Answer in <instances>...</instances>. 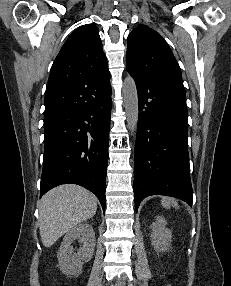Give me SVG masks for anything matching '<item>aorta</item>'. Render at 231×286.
Segmentation results:
<instances>
[{"label":"aorta","mask_w":231,"mask_h":286,"mask_svg":"<svg viewBox=\"0 0 231 286\" xmlns=\"http://www.w3.org/2000/svg\"><path fill=\"white\" fill-rule=\"evenodd\" d=\"M124 108L127 116V126L134 133L138 124V93L134 79L127 76L123 83Z\"/></svg>","instance_id":"1"}]
</instances>
